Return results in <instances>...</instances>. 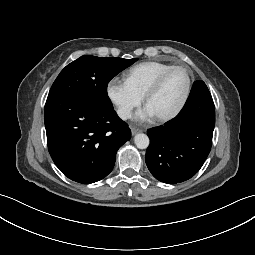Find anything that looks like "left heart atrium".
<instances>
[{
    "label": "left heart atrium",
    "mask_w": 255,
    "mask_h": 255,
    "mask_svg": "<svg viewBox=\"0 0 255 255\" xmlns=\"http://www.w3.org/2000/svg\"><path fill=\"white\" fill-rule=\"evenodd\" d=\"M155 114L153 113V111L151 110V108L146 105L142 110H140L137 114H136V119L138 121H145L149 118L154 117Z\"/></svg>",
    "instance_id": "obj_1"
}]
</instances>
